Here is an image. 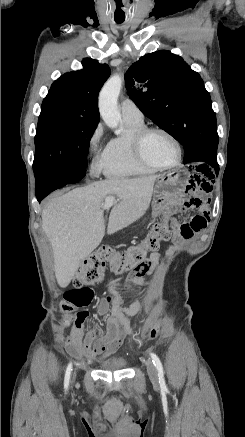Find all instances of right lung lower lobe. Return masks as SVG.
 Wrapping results in <instances>:
<instances>
[{
    "label": "right lung lower lobe",
    "instance_id": "obj_1",
    "mask_svg": "<svg viewBox=\"0 0 245 437\" xmlns=\"http://www.w3.org/2000/svg\"><path fill=\"white\" fill-rule=\"evenodd\" d=\"M85 176V172L65 169H50L36 176V198L41 202L49 193L69 183H76Z\"/></svg>",
    "mask_w": 245,
    "mask_h": 437
}]
</instances>
